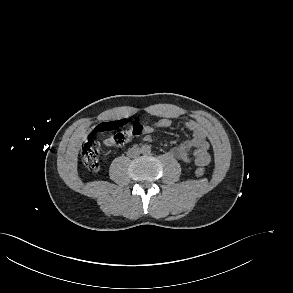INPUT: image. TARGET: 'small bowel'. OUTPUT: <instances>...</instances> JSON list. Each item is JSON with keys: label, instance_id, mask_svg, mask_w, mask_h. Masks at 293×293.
<instances>
[{"label": "small bowel", "instance_id": "c3829d8e", "mask_svg": "<svg viewBox=\"0 0 293 293\" xmlns=\"http://www.w3.org/2000/svg\"><path fill=\"white\" fill-rule=\"evenodd\" d=\"M171 120L161 118L146 128V133L150 134L159 128H168ZM185 127L190 131V137L171 150V154L176 159L190 165L205 166L209 164L211 156L209 153L210 145L206 137L205 127L194 121L187 120ZM194 150L191 154V150Z\"/></svg>", "mask_w": 293, "mask_h": 293}]
</instances>
